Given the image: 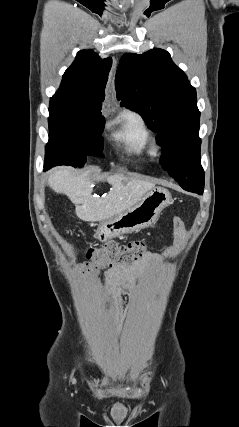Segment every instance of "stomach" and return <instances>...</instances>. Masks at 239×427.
Masks as SVG:
<instances>
[{
    "label": "stomach",
    "instance_id": "stomach-1",
    "mask_svg": "<svg viewBox=\"0 0 239 427\" xmlns=\"http://www.w3.org/2000/svg\"><path fill=\"white\" fill-rule=\"evenodd\" d=\"M172 203L171 193L162 187H154L130 209L101 222L95 237L106 242L123 234L132 233L153 224L160 212Z\"/></svg>",
    "mask_w": 239,
    "mask_h": 427
}]
</instances>
